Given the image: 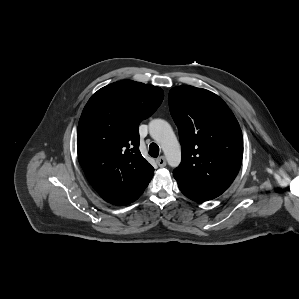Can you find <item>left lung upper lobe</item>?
Wrapping results in <instances>:
<instances>
[{"instance_id":"5c2ea615","label":"left lung upper lobe","mask_w":299,"mask_h":299,"mask_svg":"<svg viewBox=\"0 0 299 299\" xmlns=\"http://www.w3.org/2000/svg\"><path fill=\"white\" fill-rule=\"evenodd\" d=\"M169 107L182 148L174 178L189 192L218 197L242 163L243 137L237 119L219 96L188 85L170 90Z\"/></svg>"}]
</instances>
